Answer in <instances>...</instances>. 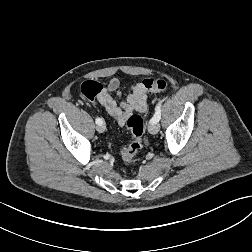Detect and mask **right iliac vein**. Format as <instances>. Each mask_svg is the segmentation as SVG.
I'll return each mask as SVG.
<instances>
[{
	"instance_id": "63e3f726",
	"label": "right iliac vein",
	"mask_w": 252,
	"mask_h": 252,
	"mask_svg": "<svg viewBox=\"0 0 252 252\" xmlns=\"http://www.w3.org/2000/svg\"><path fill=\"white\" fill-rule=\"evenodd\" d=\"M105 129H106V127H105L104 123L97 126V131L100 133L104 132Z\"/></svg>"
}]
</instances>
